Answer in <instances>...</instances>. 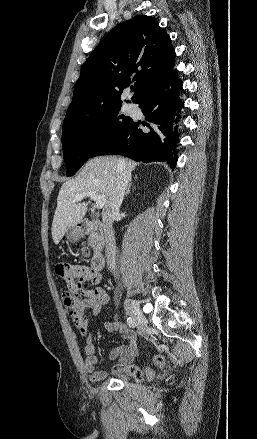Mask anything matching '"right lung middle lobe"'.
I'll list each match as a JSON object with an SVG mask.
<instances>
[{
    "instance_id": "1",
    "label": "right lung middle lobe",
    "mask_w": 257,
    "mask_h": 439,
    "mask_svg": "<svg viewBox=\"0 0 257 439\" xmlns=\"http://www.w3.org/2000/svg\"><path fill=\"white\" fill-rule=\"evenodd\" d=\"M114 104L63 122L62 147L67 176L74 175L93 151L118 134L132 118L120 115Z\"/></svg>"
}]
</instances>
